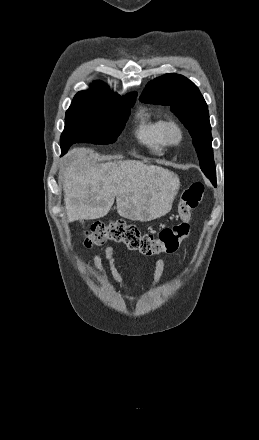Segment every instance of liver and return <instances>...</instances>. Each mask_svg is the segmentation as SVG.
<instances>
[{"label": "liver", "mask_w": 259, "mask_h": 440, "mask_svg": "<svg viewBox=\"0 0 259 440\" xmlns=\"http://www.w3.org/2000/svg\"><path fill=\"white\" fill-rule=\"evenodd\" d=\"M180 182L173 172L141 161L100 162L91 150L74 148L63 169L68 222L107 215L115 198L117 212L147 222L172 208Z\"/></svg>", "instance_id": "1"}]
</instances>
